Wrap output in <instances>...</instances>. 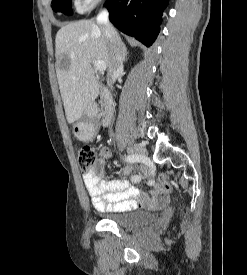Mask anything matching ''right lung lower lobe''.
Instances as JSON below:
<instances>
[{"label": "right lung lower lobe", "instance_id": "1", "mask_svg": "<svg viewBox=\"0 0 247 275\" xmlns=\"http://www.w3.org/2000/svg\"><path fill=\"white\" fill-rule=\"evenodd\" d=\"M168 0H107L112 24L147 47L159 33L163 9Z\"/></svg>", "mask_w": 247, "mask_h": 275}]
</instances>
